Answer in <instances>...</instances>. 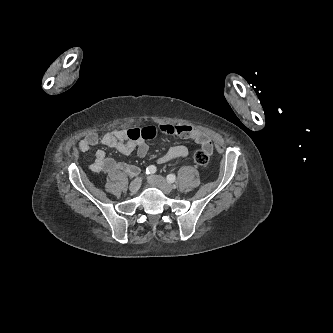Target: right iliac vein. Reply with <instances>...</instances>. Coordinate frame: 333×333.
I'll return each instance as SVG.
<instances>
[{"instance_id": "right-iliac-vein-1", "label": "right iliac vein", "mask_w": 333, "mask_h": 333, "mask_svg": "<svg viewBox=\"0 0 333 333\" xmlns=\"http://www.w3.org/2000/svg\"><path fill=\"white\" fill-rule=\"evenodd\" d=\"M141 178L137 177L135 178L131 183H130V186H129V189L132 193H136L139 189H140V186H141Z\"/></svg>"}]
</instances>
